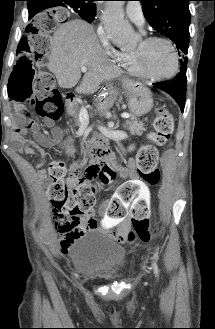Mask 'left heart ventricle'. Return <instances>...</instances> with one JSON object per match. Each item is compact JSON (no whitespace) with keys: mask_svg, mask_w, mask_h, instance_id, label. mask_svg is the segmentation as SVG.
I'll return each instance as SVG.
<instances>
[{"mask_svg":"<svg viewBox=\"0 0 215 329\" xmlns=\"http://www.w3.org/2000/svg\"><path fill=\"white\" fill-rule=\"evenodd\" d=\"M141 42L134 50H137ZM175 65L171 48L162 42H156L146 48L143 60V68L148 73L161 76L169 74Z\"/></svg>","mask_w":215,"mask_h":329,"instance_id":"b2bd125f","label":"left heart ventricle"}]
</instances>
